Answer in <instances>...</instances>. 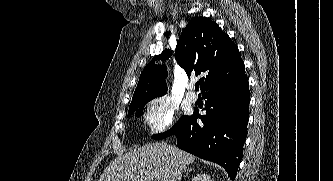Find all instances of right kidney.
Segmentation results:
<instances>
[{
	"label": "right kidney",
	"mask_w": 333,
	"mask_h": 181,
	"mask_svg": "<svg viewBox=\"0 0 333 181\" xmlns=\"http://www.w3.org/2000/svg\"><path fill=\"white\" fill-rule=\"evenodd\" d=\"M192 181H212V180L210 179V176L207 174H198L192 179Z\"/></svg>",
	"instance_id": "ca27d5eb"
}]
</instances>
